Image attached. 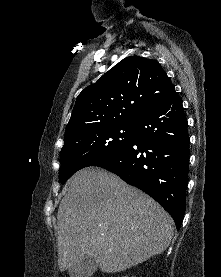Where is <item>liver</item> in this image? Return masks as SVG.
Instances as JSON below:
<instances>
[{"label":"liver","instance_id":"1","mask_svg":"<svg viewBox=\"0 0 221 277\" xmlns=\"http://www.w3.org/2000/svg\"><path fill=\"white\" fill-rule=\"evenodd\" d=\"M57 219L61 272L84 256L121 272L163 253L173 237V219L156 201L97 167L69 179Z\"/></svg>","mask_w":221,"mask_h":277}]
</instances>
